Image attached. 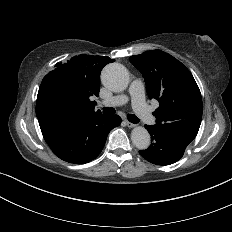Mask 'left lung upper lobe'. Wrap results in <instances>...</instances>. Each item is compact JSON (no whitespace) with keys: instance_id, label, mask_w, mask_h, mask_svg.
Listing matches in <instances>:
<instances>
[{"instance_id":"5c2ea615","label":"left lung upper lobe","mask_w":232,"mask_h":232,"mask_svg":"<svg viewBox=\"0 0 232 232\" xmlns=\"http://www.w3.org/2000/svg\"><path fill=\"white\" fill-rule=\"evenodd\" d=\"M129 60L143 74L149 98L159 101L152 127L188 145L198 133L203 111L201 93L190 71L160 50Z\"/></svg>"}]
</instances>
